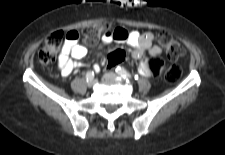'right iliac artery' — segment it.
Here are the masks:
<instances>
[{"mask_svg": "<svg viewBox=\"0 0 225 155\" xmlns=\"http://www.w3.org/2000/svg\"><path fill=\"white\" fill-rule=\"evenodd\" d=\"M94 78V72L93 71H88L87 74H86V79H87V82L91 79Z\"/></svg>", "mask_w": 225, "mask_h": 155, "instance_id": "right-iliac-artery-1", "label": "right iliac artery"}]
</instances>
